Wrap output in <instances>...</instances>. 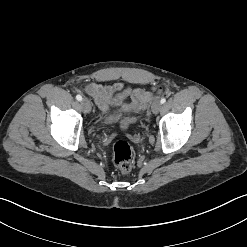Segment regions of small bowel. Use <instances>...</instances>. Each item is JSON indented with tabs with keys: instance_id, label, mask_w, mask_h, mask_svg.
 <instances>
[{
	"instance_id": "1",
	"label": "small bowel",
	"mask_w": 247,
	"mask_h": 247,
	"mask_svg": "<svg viewBox=\"0 0 247 247\" xmlns=\"http://www.w3.org/2000/svg\"><path fill=\"white\" fill-rule=\"evenodd\" d=\"M84 91L93 98L95 104L103 114L113 112V108L120 107L124 113L138 112L145 108L152 97L153 90H144L142 88H132L123 83L113 85H102L99 83H89ZM131 97L130 103H123L126 97ZM131 123L126 119L122 122V127L126 128Z\"/></svg>"
}]
</instances>
